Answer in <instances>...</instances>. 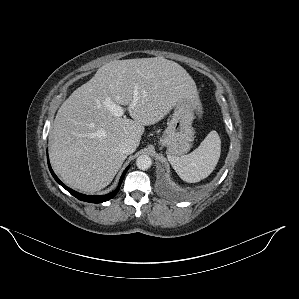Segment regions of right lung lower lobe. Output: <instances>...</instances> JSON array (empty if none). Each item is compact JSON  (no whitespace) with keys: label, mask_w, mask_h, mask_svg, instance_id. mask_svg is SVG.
I'll use <instances>...</instances> for the list:
<instances>
[{"label":"right lung lower lobe","mask_w":299,"mask_h":299,"mask_svg":"<svg viewBox=\"0 0 299 299\" xmlns=\"http://www.w3.org/2000/svg\"><path fill=\"white\" fill-rule=\"evenodd\" d=\"M48 166H49V170L52 174V176L54 177V179L62 186L64 187L70 194H72L74 197H76L77 199L81 200V201H86V202H91V203H102L105 202L111 198H113L116 193L118 192L120 185L122 183V180L125 176V173L127 172L129 166L125 169L124 173L121 176L120 182H119V186L117 187V189L107 195H102V196H89V195H84L81 193H78L72 189H70L69 187H67L66 185H64L59 179L58 177L55 175V173L53 172L50 163H49V158H48Z\"/></svg>","instance_id":"right-lung-lower-lobe-1"}]
</instances>
